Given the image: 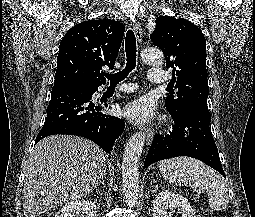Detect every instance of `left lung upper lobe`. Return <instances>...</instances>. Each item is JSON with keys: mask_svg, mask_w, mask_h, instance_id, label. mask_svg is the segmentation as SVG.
I'll use <instances>...</instances> for the list:
<instances>
[{"mask_svg": "<svg viewBox=\"0 0 255 217\" xmlns=\"http://www.w3.org/2000/svg\"><path fill=\"white\" fill-rule=\"evenodd\" d=\"M150 35L154 45L166 58L167 68H173V86L178 92L167 96L165 105L172 114L191 106L208 110L209 93L206 70V40L202 31L183 18L160 16Z\"/></svg>", "mask_w": 255, "mask_h": 217, "instance_id": "obj_1", "label": "left lung upper lobe"}]
</instances>
